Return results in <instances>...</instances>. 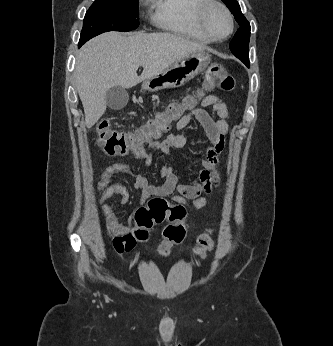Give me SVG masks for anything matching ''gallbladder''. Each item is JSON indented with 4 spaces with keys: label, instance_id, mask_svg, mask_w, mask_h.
Returning <instances> with one entry per match:
<instances>
[{
    "label": "gallbladder",
    "instance_id": "obj_1",
    "mask_svg": "<svg viewBox=\"0 0 333 346\" xmlns=\"http://www.w3.org/2000/svg\"><path fill=\"white\" fill-rule=\"evenodd\" d=\"M105 100L110 109L120 110L127 105L129 95L125 88L114 86L106 92Z\"/></svg>",
    "mask_w": 333,
    "mask_h": 346
}]
</instances>
